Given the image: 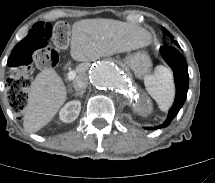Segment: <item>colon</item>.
Listing matches in <instances>:
<instances>
[{"label": "colon", "instance_id": "colon-1", "mask_svg": "<svg viewBox=\"0 0 215 183\" xmlns=\"http://www.w3.org/2000/svg\"><path fill=\"white\" fill-rule=\"evenodd\" d=\"M68 36L69 28L64 22L53 25L39 21L35 23L27 38L12 48L5 63L10 70L7 98L13 110L21 112L26 108L31 84L27 71L32 65L52 68L58 64L59 56L49 45V41L65 43Z\"/></svg>", "mask_w": 215, "mask_h": 183}]
</instances>
